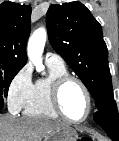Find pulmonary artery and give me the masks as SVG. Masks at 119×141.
<instances>
[{
    "label": "pulmonary artery",
    "instance_id": "e3ab8cb5",
    "mask_svg": "<svg viewBox=\"0 0 119 141\" xmlns=\"http://www.w3.org/2000/svg\"><path fill=\"white\" fill-rule=\"evenodd\" d=\"M46 62L62 65L64 64L63 58L54 52H47L45 57Z\"/></svg>",
    "mask_w": 119,
    "mask_h": 141
}]
</instances>
